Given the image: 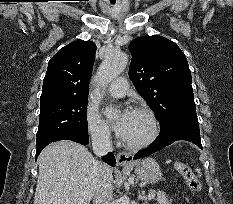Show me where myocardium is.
<instances>
[{
	"label": "myocardium",
	"instance_id": "myocardium-1",
	"mask_svg": "<svg viewBox=\"0 0 233 204\" xmlns=\"http://www.w3.org/2000/svg\"><path fill=\"white\" fill-rule=\"evenodd\" d=\"M132 111L146 115L151 126L150 133L144 140L136 143L128 142L124 140V143L128 149L137 151V150L145 149L155 142V140L158 138L160 133V125L157 116L150 108L145 106H137L133 108Z\"/></svg>",
	"mask_w": 233,
	"mask_h": 204
}]
</instances>
